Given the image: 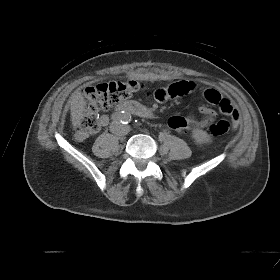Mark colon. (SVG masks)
I'll return each mask as SVG.
<instances>
[{"label":"colon","mask_w":280,"mask_h":280,"mask_svg":"<svg viewBox=\"0 0 280 280\" xmlns=\"http://www.w3.org/2000/svg\"><path fill=\"white\" fill-rule=\"evenodd\" d=\"M142 85L137 81H109L87 87L84 96L87 102L86 112L81 119L80 126L89 132L97 131L100 127L99 112L108 110L121 101L129 98L139 91ZM232 122L220 120L208 127V132L213 136H220L228 132L231 125L234 126L236 116Z\"/></svg>","instance_id":"1"}]
</instances>
